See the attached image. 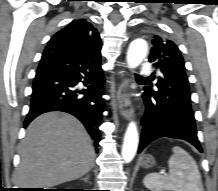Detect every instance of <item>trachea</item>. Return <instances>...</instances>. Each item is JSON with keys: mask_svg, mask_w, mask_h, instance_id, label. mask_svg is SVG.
Listing matches in <instances>:
<instances>
[{"mask_svg": "<svg viewBox=\"0 0 218 191\" xmlns=\"http://www.w3.org/2000/svg\"><path fill=\"white\" fill-rule=\"evenodd\" d=\"M136 77H137V78H141V79H147V78H143V77H141V76H139V75H136Z\"/></svg>", "mask_w": 218, "mask_h": 191, "instance_id": "trachea-1", "label": "trachea"}]
</instances>
